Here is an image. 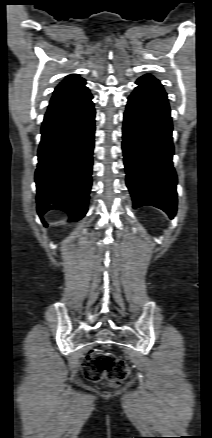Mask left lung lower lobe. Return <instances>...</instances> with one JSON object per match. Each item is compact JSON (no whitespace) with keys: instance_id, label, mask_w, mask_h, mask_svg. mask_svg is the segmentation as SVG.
<instances>
[{"instance_id":"obj_1","label":"left lung lower lobe","mask_w":212,"mask_h":438,"mask_svg":"<svg viewBox=\"0 0 212 438\" xmlns=\"http://www.w3.org/2000/svg\"><path fill=\"white\" fill-rule=\"evenodd\" d=\"M136 84L124 113L122 149L127 187L133 208L151 205L173 217L177 176L167 94L154 77L143 76Z\"/></svg>"}]
</instances>
